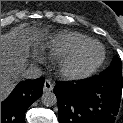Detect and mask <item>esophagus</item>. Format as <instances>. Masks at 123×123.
<instances>
[{
	"label": "esophagus",
	"mask_w": 123,
	"mask_h": 123,
	"mask_svg": "<svg viewBox=\"0 0 123 123\" xmlns=\"http://www.w3.org/2000/svg\"><path fill=\"white\" fill-rule=\"evenodd\" d=\"M53 83L51 82V80L46 79L44 82V86H43V90L44 92H49L53 90Z\"/></svg>",
	"instance_id": "esophagus-1"
}]
</instances>
